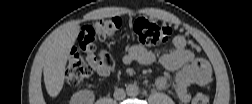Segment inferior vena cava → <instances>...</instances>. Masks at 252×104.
Wrapping results in <instances>:
<instances>
[{"mask_svg":"<svg viewBox=\"0 0 252 104\" xmlns=\"http://www.w3.org/2000/svg\"><path fill=\"white\" fill-rule=\"evenodd\" d=\"M125 97H126V93H125V91L123 89H121V88L115 89V91H114V98L116 100L120 101V100L125 99Z\"/></svg>","mask_w":252,"mask_h":104,"instance_id":"1","label":"inferior vena cava"}]
</instances>
